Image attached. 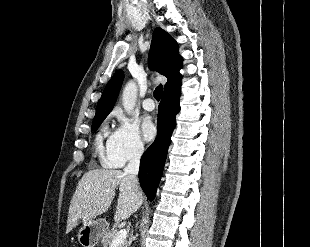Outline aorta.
I'll return each mask as SVG.
<instances>
[{
  "label": "aorta",
  "instance_id": "aorta-1",
  "mask_svg": "<svg viewBox=\"0 0 310 247\" xmlns=\"http://www.w3.org/2000/svg\"><path fill=\"white\" fill-rule=\"evenodd\" d=\"M137 85L135 81L130 80L124 87L123 94H122V103L124 110L130 114L132 113L136 100H137Z\"/></svg>",
  "mask_w": 310,
  "mask_h": 247
}]
</instances>
